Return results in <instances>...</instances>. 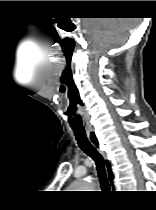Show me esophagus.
<instances>
[{
  "label": "esophagus",
  "instance_id": "34e87169",
  "mask_svg": "<svg viewBox=\"0 0 156 210\" xmlns=\"http://www.w3.org/2000/svg\"><path fill=\"white\" fill-rule=\"evenodd\" d=\"M87 136H88L90 142L93 144V146L99 151V153L104 158L105 165H106L107 178H108L109 185L111 186L114 181V176L111 175V174H113L112 162L110 160H108L107 154L102 149L100 141H99L96 133L94 131L87 132Z\"/></svg>",
  "mask_w": 156,
  "mask_h": 210
}]
</instances>
